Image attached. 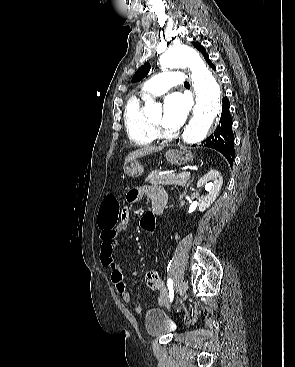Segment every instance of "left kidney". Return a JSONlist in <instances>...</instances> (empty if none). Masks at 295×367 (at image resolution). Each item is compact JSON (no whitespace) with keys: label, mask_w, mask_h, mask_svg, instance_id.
I'll list each match as a JSON object with an SVG mask.
<instances>
[{"label":"left kidney","mask_w":295,"mask_h":367,"mask_svg":"<svg viewBox=\"0 0 295 367\" xmlns=\"http://www.w3.org/2000/svg\"><path fill=\"white\" fill-rule=\"evenodd\" d=\"M223 183L222 176L217 170L208 171L203 177L197 182V188L205 187L208 194L202 196L199 200V211L203 212L208 209L213 202L216 200Z\"/></svg>","instance_id":"5707ae66"}]
</instances>
